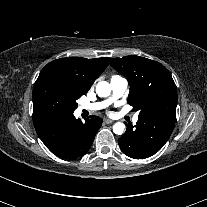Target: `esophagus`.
Returning a JSON list of instances; mask_svg holds the SVG:
<instances>
[{
  "label": "esophagus",
  "instance_id": "1",
  "mask_svg": "<svg viewBox=\"0 0 207 207\" xmlns=\"http://www.w3.org/2000/svg\"><path fill=\"white\" fill-rule=\"evenodd\" d=\"M104 122H105L106 124H111V123H113V121H112L111 119H109V118H105V119H104Z\"/></svg>",
  "mask_w": 207,
  "mask_h": 207
}]
</instances>
